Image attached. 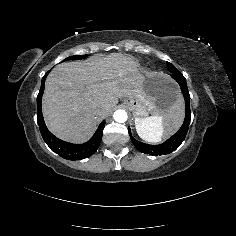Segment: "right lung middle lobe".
<instances>
[{
	"instance_id": "dd1d6c3e",
	"label": "right lung middle lobe",
	"mask_w": 236,
	"mask_h": 236,
	"mask_svg": "<svg viewBox=\"0 0 236 236\" xmlns=\"http://www.w3.org/2000/svg\"><path fill=\"white\" fill-rule=\"evenodd\" d=\"M85 57H86V55H83V56H71V57L66 58L65 60L83 59Z\"/></svg>"
}]
</instances>
